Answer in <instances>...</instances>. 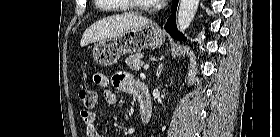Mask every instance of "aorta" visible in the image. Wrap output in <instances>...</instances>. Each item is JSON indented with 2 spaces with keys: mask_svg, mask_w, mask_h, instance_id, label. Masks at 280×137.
I'll list each match as a JSON object with an SVG mask.
<instances>
[{
  "mask_svg": "<svg viewBox=\"0 0 280 137\" xmlns=\"http://www.w3.org/2000/svg\"><path fill=\"white\" fill-rule=\"evenodd\" d=\"M199 5V0H181L178 16L177 27L178 30L184 32L191 24Z\"/></svg>",
  "mask_w": 280,
  "mask_h": 137,
  "instance_id": "obj_1",
  "label": "aorta"
}]
</instances>
